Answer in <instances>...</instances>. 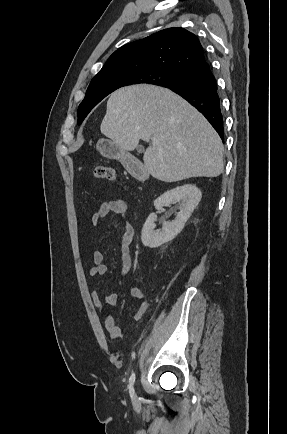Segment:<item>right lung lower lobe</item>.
I'll use <instances>...</instances> for the list:
<instances>
[{"instance_id":"1","label":"right lung lower lobe","mask_w":287,"mask_h":434,"mask_svg":"<svg viewBox=\"0 0 287 434\" xmlns=\"http://www.w3.org/2000/svg\"><path fill=\"white\" fill-rule=\"evenodd\" d=\"M179 94L210 122L224 140V121L217 82L208 61H204L187 71L180 78L166 86Z\"/></svg>"}]
</instances>
